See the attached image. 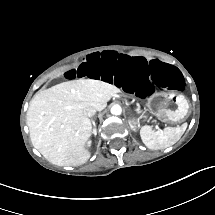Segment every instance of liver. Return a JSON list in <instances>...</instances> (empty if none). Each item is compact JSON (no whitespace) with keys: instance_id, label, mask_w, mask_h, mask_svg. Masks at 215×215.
<instances>
[{"instance_id":"liver-1","label":"liver","mask_w":215,"mask_h":215,"mask_svg":"<svg viewBox=\"0 0 215 215\" xmlns=\"http://www.w3.org/2000/svg\"><path fill=\"white\" fill-rule=\"evenodd\" d=\"M120 89L94 79H78L57 84L37 93L27 111V126L32 145L58 166H78L90 158L85 148L91 136L85 107L97 111Z\"/></svg>"}]
</instances>
